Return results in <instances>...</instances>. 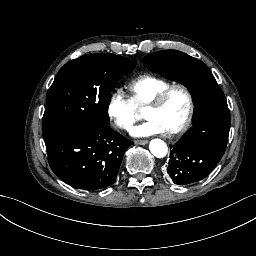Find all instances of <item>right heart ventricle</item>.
Instances as JSON below:
<instances>
[{
  "label": "right heart ventricle",
  "instance_id": "obj_1",
  "mask_svg": "<svg viewBox=\"0 0 256 256\" xmlns=\"http://www.w3.org/2000/svg\"><path fill=\"white\" fill-rule=\"evenodd\" d=\"M166 90L167 87L160 86L148 78H143L134 88V102L136 109L139 112H144Z\"/></svg>",
  "mask_w": 256,
  "mask_h": 256
}]
</instances>
